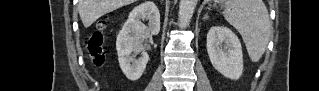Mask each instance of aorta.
I'll return each instance as SVG.
<instances>
[{
	"mask_svg": "<svg viewBox=\"0 0 319 91\" xmlns=\"http://www.w3.org/2000/svg\"><path fill=\"white\" fill-rule=\"evenodd\" d=\"M198 0H180L178 20L179 27L186 28L193 16Z\"/></svg>",
	"mask_w": 319,
	"mask_h": 91,
	"instance_id": "aorta-1",
	"label": "aorta"
}]
</instances>
